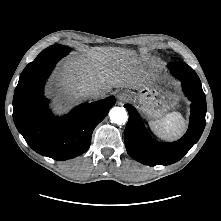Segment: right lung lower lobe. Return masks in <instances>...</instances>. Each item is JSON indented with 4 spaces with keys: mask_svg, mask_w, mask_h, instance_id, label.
Returning <instances> with one entry per match:
<instances>
[{
    "mask_svg": "<svg viewBox=\"0 0 221 221\" xmlns=\"http://www.w3.org/2000/svg\"><path fill=\"white\" fill-rule=\"evenodd\" d=\"M70 50L47 48L29 63L19 78L13 98V119L18 131L37 153L67 160L86 152L94 128L115 104L113 96L84 103L57 118L43 96L44 84L56 63Z\"/></svg>",
    "mask_w": 221,
    "mask_h": 221,
    "instance_id": "1",
    "label": "right lung lower lobe"
}]
</instances>
